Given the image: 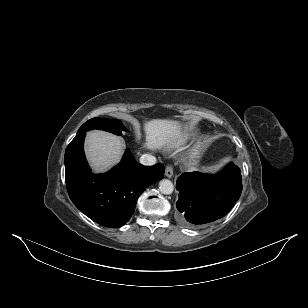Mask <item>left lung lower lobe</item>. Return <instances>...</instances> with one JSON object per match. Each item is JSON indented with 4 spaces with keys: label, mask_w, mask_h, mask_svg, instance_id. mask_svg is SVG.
<instances>
[{
    "label": "left lung lower lobe",
    "mask_w": 308,
    "mask_h": 308,
    "mask_svg": "<svg viewBox=\"0 0 308 308\" xmlns=\"http://www.w3.org/2000/svg\"><path fill=\"white\" fill-rule=\"evenodd\" d=\"M176 189L180 220L199 226L224 217L232 209L241 195L242 176L240 169L229 163L218 174L184 173Z\"/></svg>",
    "instance_id": "1"
}]
</instances>
